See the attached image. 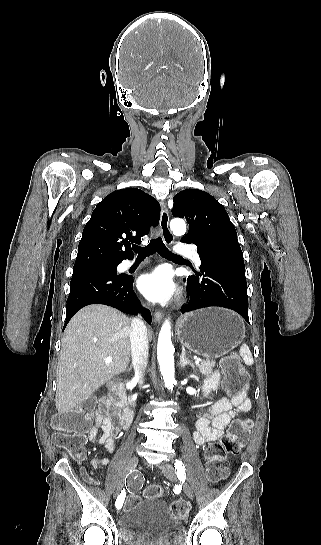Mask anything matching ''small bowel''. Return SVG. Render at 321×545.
Wrapping results in <instances>:
<instances>
[{"instance_id":"1","label":"small bowel","mask_w":321,"mask_h":545,"mask_svg":"<svg viewBox=\"0 0 321 545\" xmlns=\"http://www.w3.org/2000/svg\"><path fill=\"white\" fill-rule=\"evenodd\" d=\"M219 381V373H212L202 386V397L216 390L219 386ZM251 405L250 399L244 393L220 399L197 421L193 432L194 441L198 445L204 446L217 440L222 436L229 423L241 413L248 412L251 409ZM119 433L120 427L114 422L113 418L103 410H99L95 416V425L88 430L87 435L90 441L104 445L109 451H113L115 448V438ZM91 464L94 468L105 467L108 466L109 460L107 458L93 459ZM81 473L88 480L87 477L90 476L86 470L82 469ZM91 480L95 481L92 478Z\"/></svg>"}]
</instances>
